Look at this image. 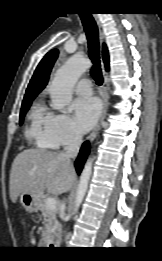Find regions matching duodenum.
<instances>
[{
  "label": "duodenum",
  "mask_w": 162,
  "mask_h": 261,
  "mask_svg": "<svg viewBox=\"0 0 162 261\" xmlns=\"http://www.w3.org/2000/svg\"><path fill=\"white\" fill-rule=\"evenodd\" d=\"M54 243H55V242H54V238H53V237H50L49 240H48L47 245H48V246H53Z\"/></svg>",
  "instance_id": "duodenum-1"
}]
</instances>
